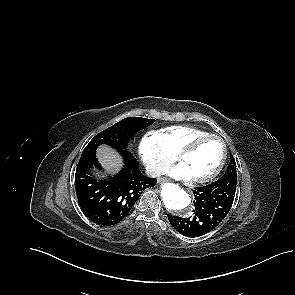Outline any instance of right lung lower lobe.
<instances>
[{"instance_id": "right-lung-lower-lobe-1", "label": "right lung lower lobe", "mask_w": 295, "mask_h": 295, "mask_svg": "<svg viewBox=\"0 0 295 295\" xmlns=\"http://www.w3.org/2000/svg\"><path fill=\"white\" fill-rule=\"evenodd\" d=\"M124 168L114 177L97 180L93 166L101 169L95 154L80 158L75 174L76 194L84 214L94 223L110 226L122 221L144 189L156 184L155 178L144 176L138 161L127 149L119 151Z\"/></svg>"}]
</instances>
